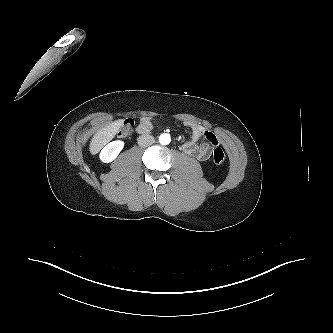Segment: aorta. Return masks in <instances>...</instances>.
<instances>
[{
	"mask_svg": "<svg viewBox=\"0 0 333 333\" xmlns=\"http://www.w3.org/2000/svg\"><path fill=\"white\" fill-rule=\"evenodd\" d=\"M159 142L162 145H168L171 142L170 135L167 133L161 134L159 137Z\"/></svg>",
	"mask_w": 333,
	"mask_h": 333,
	"instance_id": "aorta-1",
	"label": "aorta"
}]
</instances>
